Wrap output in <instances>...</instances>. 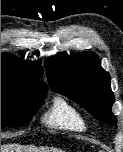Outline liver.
Returning a JSON list of instances; mask_svg holds the SVG:
<instances>
[{
  "label": "liver",
  "mask_w": 123,
  "mask_h": 152,
  "mask_svg": "<svg viewBox=\"0 0 123 152\" xmlns=\"http://www.w3.org/2000/svg\"><path fill=\"white\" fill-rule=\"evenodd\" d=\"M1 152H62L54 148H35L32 146H22L19 144L1 145Z\"/></svg>",
  "instance_id": "6515ba94"
}]
</instances>
